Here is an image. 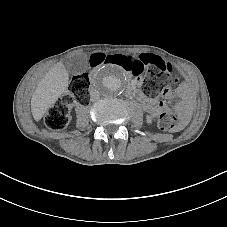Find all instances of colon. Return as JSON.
I'll return each instance as SVG.
<instances>
[{
  "instance_id": "5ec220e1",
  "label": "colon",
  "mask_w": 227,
  "mask_h": 227,
  "mask_svg": "<svg viewBox=\"0 0 227 227\" xmlns=\"http://www.w3.org/2000/svg\"><path fill=\"white\" fill-rule=\"evenodd\" d=\"M92 66L113 64L132 76H139L144 71L147 76L143 80V91L155 96L160 93L175 94L176 88L170 86L172 67L161 57L154 54L133 56L121 53H97L90 59ZM89 78L82 73L72 77L67 93L52 105L47 111L44 121L48 128L59 130L64 128L70 117L73 104L84 105L88 102ZM182 122L179 115L162 113L157 121L161 130H176Z\"/></svg>"
}]
</instances>
